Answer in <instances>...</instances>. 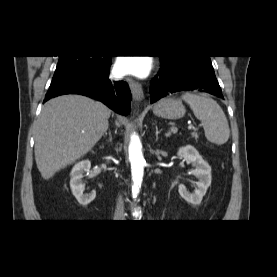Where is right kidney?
Returning <instances> with one entry per match:
<instances>
[{
    "instance_id": "right-kidney-1",
    "label": "right kidney",
    "mask_w": 277,
    "mask_h": 277,
    "mask_svg": "<svg viewBox=\"0 0 277 277\" xmlns=\"http://www.w3.org/2000/svg\"><path fill=\"white\" fill-rule=\"evenodd\" d=\"M90 168L91 162L89 160H83L75 164L70 173V188L72 194L82 206L88 205L96 197V192L84 194L83 173L89 172Z\"/></svg>"
}]
</instances>
